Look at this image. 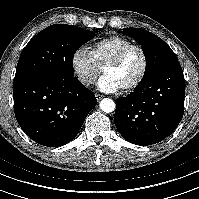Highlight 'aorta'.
<instances>
[{"label": "aorta", "instance_id": "762f6f07", "mask_svg": "<svg viewBox=\"0 0 199 199\" xmlns=\"http://www.w3.org/2000/svg\"><path fill=\"white\" fill-rule=\"evenodd\" d=\"M100 109L105 113H111L115 110V102L112 99L104 98L100 102Z\"/></svg>", "mask_w": 199, "mask_h": 199}]
</instances>
